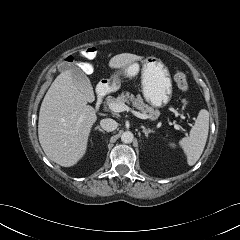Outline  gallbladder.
Segmentation results:
<instances>
[{
  "mask_svg": "<svg viewBox=\"0 0 240 240\" xmlns=\"http://www.w3.org/2000/svg\"><path fill=\"white\" fill-rule=\"evenodd\" d=\"M61 70H72V77L74 84L79 88L87 97L88 101L92 102L95 97L90 80L84 72L76 65H63Z\"/></svg>",
  "mask_w": 240,
  "mask_h": 240,
  "instance_id": "obj_1",
  "label": "gallbladder"
}]
</instances>
